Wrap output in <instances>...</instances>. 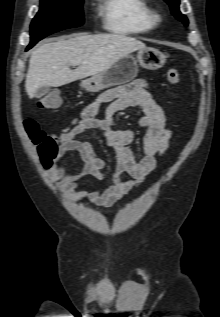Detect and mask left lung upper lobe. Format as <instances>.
I'll list each match as a JSON object with an SVG mask.
<instances>
[{
    "instance_id": "obj_1",
    "label": "left lung upper lobe",
    "mask_w": 220,
    "mask_h": 317,
    "mask_svg": "<svg viewBox=\"0 0 220 317\" xmlns=\"http://www.w3.org/2000/svg\"><path fill=\"white\" fill-rule=\"evenodd\" d=\"M164 1L170 5L172 14L187 26L188 19L186 18L185 15L181 14V12L179 11V0H164Z\"/></svg>"
}]
</instances>
